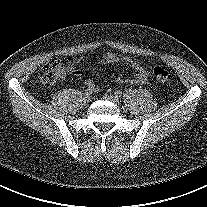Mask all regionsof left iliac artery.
Listing matches in <instances>:
<instances>
[{"instance_id": "44dca946", "label": "left iliac artery", "mask_w": 207, "mask_h": 207, "mask_svg": "<svg viewBox=\"0 0 207 207\" xmlns=\"http://www.w3.org/2000/svg\"><path fill=\"white\" fill-rule=\"evenodd\" d=\"M115 95L117 97H121L122 96V92L120 90L115 91Z\"/></svg>"}]
</instances>
